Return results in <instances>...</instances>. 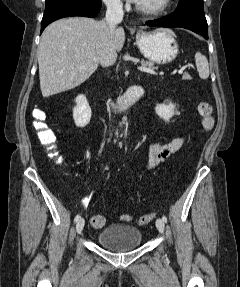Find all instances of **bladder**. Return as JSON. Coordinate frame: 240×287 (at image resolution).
Listing matches in <instances>:
<instances>
[{"instance_id": "bladder-1", "label": "bladder", "mask_w": 240, "mask_h": 287, "mask_svg": "<svg viewBox=\"0 0 240 287\" xmlns=\"http://www.w3.org/2000/svg\"><path fill=\"white\" fill-rule=\"evenodd\" d=\"M97 242L113 251H128L140 246L142 233L139 228L134 226L112 224L99 232Z\"/></svg>"}]
</instances>
